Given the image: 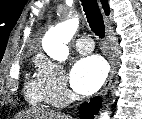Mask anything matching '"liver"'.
Returning a JSON list of instances; mask_svg holds the SVG:
<instances>
[{"label": "liver", "mask_w": 142, "mask_h": 119, "mask_svg": "<svg viewBox=\"0 0 142 119\" xmlns=\"http://www.w3.org/2000/svg\"><path fill=\"white\" fill-rule=\"evenodd\" d=\"M19 119H71L68 115L52 111L31 109L18 116Z\"/></svg>", "instance_id": "obj_1"}]
</instances>
